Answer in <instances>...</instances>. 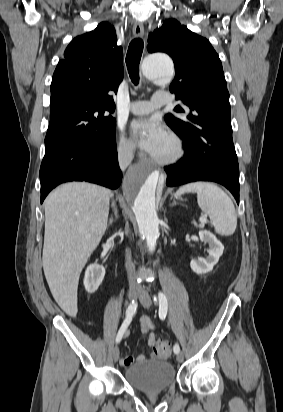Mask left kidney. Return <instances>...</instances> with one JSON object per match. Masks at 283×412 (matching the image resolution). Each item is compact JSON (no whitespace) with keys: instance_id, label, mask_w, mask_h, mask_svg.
I'll return each mask as SVG.
<instances>
[{"instance_id":"left-kidney-1","label":"left kidney","mask_w":283,"mask_h":412,"mask_svg":"<svg viewBox=\"0 0 283 412\" xmlns=\"http://www.w3.org/2000/svg\"><path fill=\"white\" fill-rule=\"evenodd\" d=\"M199 237L202 242L209 244L208 256L192 260L190 267L197 274H205L210 272L214 265L217 264L220 256L223 254L224 246L210 231H199Z\"/></svg>"}]
</instances>
